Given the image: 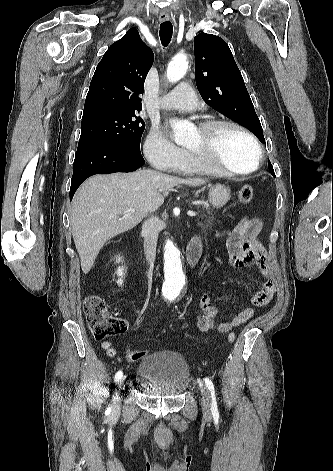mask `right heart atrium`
<instances>
[{
	"mask_svg": "<svg viewBox=\"0 0 333 471\" xmlns=\"http://www.w3.org/2000/svg\"><path fill=\"white\" fill-rule=\"evenodd\" d=\"M144 154L153 167L167 172L176 171L187 156L157 128L149 132L144 143Z\"/></svg>",
	"mask_w": 333,
	"mask_h": 471,
	"instance_id": "d8ad5b80",
	"label": "right heart atrium"
}]
</instances>
